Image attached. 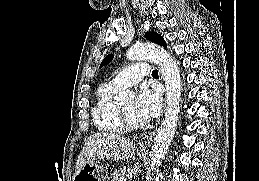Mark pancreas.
<instances>
[{
	"label": "pancreas",
	"mask_w": 259,
	"mask_h": 181,
	"mask_svg": "<svg viewBox=\"0 0 259 181\" xmlns=\"http://www.w3.org/2000/svg\"><path fill=\"white\" fill-rule=\"evenodd\" d=\"M127 168L125 166H121L118 170H115L112 173L111 181H120V178H124L127 173Z\"/></svg>",
	"instance_id": "obj_1"
}]
</instances>
